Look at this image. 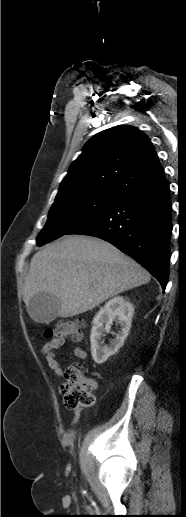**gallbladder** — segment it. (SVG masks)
I'll use <instances>...</instances> for the list:
<instances>
[{"label":"gallbladder","instance_id":"bac80fb5","mask_svg":"<svg viewBox=\"0 0 186 517\" xmlns=\"http://www.w3.org/2000/svg\"><path fill=\"white\" fill-rule=\"evenodd\" d=\"M59 307V301L54 295L41 292L30 299L27 311L33 320L50 323L58 316Z\"/></svg>","mask_w":186,"mask_h":517}]
</instances>
